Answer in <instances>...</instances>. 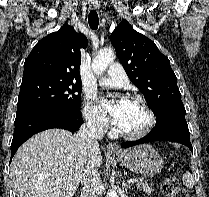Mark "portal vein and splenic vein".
Returning a JSON list of instances; mask_svg holds the SVG:
<instances>
[{"label":"portal vein and splenic vein","mask_w":209,"mask_h":197,"mask_svg":"<svg viewBox=\"0 0 209 197\" xmlns=\"http://www.w3.org/2000/svg\"><path fill=\"white\" fill-rule=\"evenodd\" d=\"M138 181V179H135V178H131L128 180V183H136Z\"/></svg>","instance_id":"portal-vein-and-splenic-vein-1"}]
</instances>
